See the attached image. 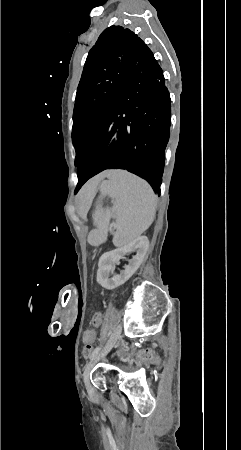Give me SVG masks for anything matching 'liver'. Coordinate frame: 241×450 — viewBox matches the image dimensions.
Segmentation results:
<instances>
[{
	"label": "liver",
	"mask_w": 241,
	"mask_h": 450,
	"mask_svg": "<svg viewBox=\"0 0 241 450\" xmlns=\"http://www.w3.org/2000/svg\"><path fill=\"white\" fill-rule=\"evenodd\" d=\"M108 174H110V172H102V174H98V176H95V178H92V180H90V182H88V184H86V186H84V188H82L81 196H83V194H85L87 188H91V190H97L99 184H101V182H102V180H104V178H107Z\"/></svg>",
	"instance_id": "1"
}]
</instances>
